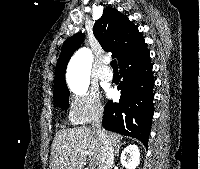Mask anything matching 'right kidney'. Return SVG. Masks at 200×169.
I'll return each mask as SVG.
<instances>
[{
    "instance_id": "obj_1",
    "label": "right kidney",
    "mask_w": 200,
    "mask_h": 169,
    "mask_svg": "<svg viewBox=\"0 0 200 169\" xmlns=\"http://www.w3.org/2000/svg\"><path fill=\"white\" fill-rule=\"evenodd\" d=\"M122 166L126 169H136L140 163V152L139 148L135 144L127 146L120 157Z\"/></svg>"
}]
</instances>
